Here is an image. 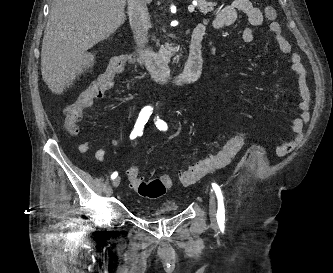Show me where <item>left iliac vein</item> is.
<instances>
[{
	"instance_id": "1",
	"label": "left iliac vein",
	"mask_w": 333,
	"mask_h": 273,
	"mask_svg": "<svg viewBox=\"0 0 333 273\" xmlns=\"http://www.w3.org/2000/svg\"><path fill=\"white\" fill-rule=\"evenodd\" d=\"M209 215L212 226H217L216 202L213 193L209 190Z\"/></svg>"
}]
</instances>
